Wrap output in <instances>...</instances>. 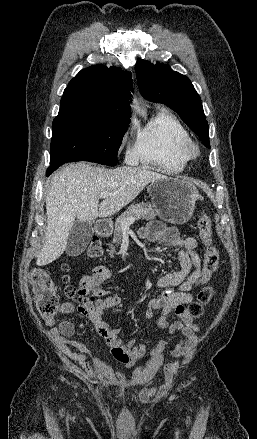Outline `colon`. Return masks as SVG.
I'll use <instances>...</instances> for the list:
<instances>
[{
  "instance_id": "5ec220e1",
  "label": "colon",
  "mask_w": 257,
  "mask_h": 439,
  "mask_svg": "<svg viewBox=\"0 0 257 439\" xmlns=\"http://www.w3.org/2000/svg\"><path fill=\"white\" fill-rule=\"evenodd\" d=\"M197 226L200 239L204 245V259L201 270V284H204L212 278L218 268L219 253L212 240L211 220L206 213L200 215ZM101 253V243L98 239L94 238L86 250V255L89 258H97ZM63 270L67 271L68 267L66 265L63 266ZM62 281L64 283V295L67 298L77 299L79 307L84 310L94 308L97 301L95 295L69 284L67 275L62 277ZM30 282L40 314L46 318L54 316L58 311V293L55 282L46 271L40 268H35L31 271ZM212 295L213 289L210 286L203 287L198 293L196 300L187 307V318L192 321L200 318L203 315L204 307L210 302Z\"/></svg>"
}]
</instances>
